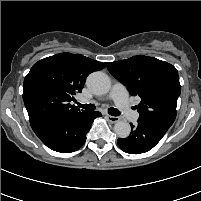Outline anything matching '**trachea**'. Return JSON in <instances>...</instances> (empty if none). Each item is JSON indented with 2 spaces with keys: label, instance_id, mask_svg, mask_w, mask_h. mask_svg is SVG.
<instances>
[{
  "label": "trachea",
  "instance_id": "trachea-1",
  "mask_svg": "<svg viewBox=\"0 0 201 201\" xmlns=\"http://www.w3.org/2000/svg\"><path fill=\"white\" fill-rule=\"evenodd\" d=\"M77 105L80 107V108H83L85 110H88V111H93L95 110V105L93 104H80V103H77ZM108 113L112 116H119L120 115V112L119 110H117L116 108H109L108 109Z\"/></svg>",
  "mask_w": 201,
  "mask_h": 201
}]
</instances>
